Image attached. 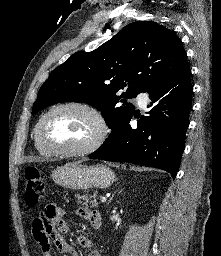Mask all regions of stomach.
<instances>
[{"label":"stomach","mask_w":221,"mask_h":256,"mask_svg":"<svg viewBox=\"0 0 221 256\" xmlns=\"http://www.w3.org/2000/svg\"><path fill=\"white\" fill-rule=\"evenodd\" d=\"M51 176L56 184L76 190L106 189L116 181L114 171L105 165L86 166L77 162L56 168Z\"/></svg>","instance_id":"obj_1"}]
</instances>
